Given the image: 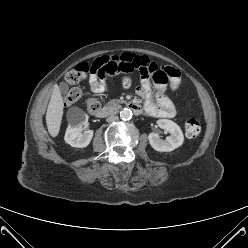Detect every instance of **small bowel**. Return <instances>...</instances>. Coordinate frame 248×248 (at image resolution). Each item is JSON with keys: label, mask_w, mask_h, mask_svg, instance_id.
I'll return each instance as SVG.
<instances>
[{"label": "small bowel", "mask_w": 248, "mask_h": 248, "mask_svg": "<svg viewBox=\"0 0 248 248\" xmlns=\"http://www.w3.org/2000/svg\"><path fill=\"white\" fill-rule=\"evenodd\" d=\"M102 61H109L114 64L115 70L132 72H145L148 77L141 81L137 93L145 101L144 112L152 117L171 118L175 115V106L172 100L166 95L165 80L168 79L170 88L176 92L181 84V76L173 67L155 61L147 56L137 55L132 52H124L119 55L105 56ZM163 75V81H156L155 91L152 89L151 76ZM92 92L101 94L107 91V86L103 80L91 75L88 80Z\"/></svg>", "instance_id": "c3829d8e"}]
</instances>
